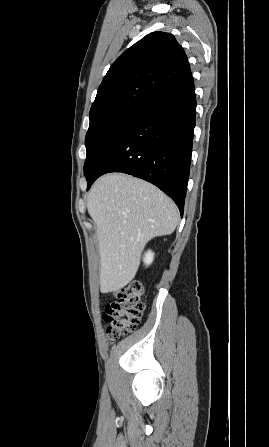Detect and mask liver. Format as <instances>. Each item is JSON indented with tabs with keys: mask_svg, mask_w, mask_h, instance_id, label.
Returning a JSON list of instances; mask_svg holds the SVG:
<instances>
[{
	"mask_svg": "<svg viewBox=\"0 0 269 447\" xmlns=\"http://www.w3.org/2000/svg\"><path fill=\"white\" fill-rule=\"evenodd\" d=\"M87 210L97 227L102 293L132 281L147 241L169 235L179 220L174 202L161 190L124 174L99 178L89 192Z\"/></svg>",
	"mask_w": 269,
	"mask_h": 447,
	"instance_id": "liver-1",
	"label": "liver"
}]
</instances>
